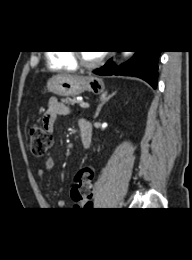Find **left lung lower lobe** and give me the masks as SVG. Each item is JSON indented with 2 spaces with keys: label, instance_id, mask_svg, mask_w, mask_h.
<instances>
[{
  "label": "left lung lower lobe",
  "instance_id": "1",
  "mask_svg": "<svg viewBox=\"0 0 192 260\" xmlns=\"http://www.w3.org/2000/svg\"><path fill=\"white\" fill-rule=\"evenodd\" d=\"M161 51H136L135 55L126 63L116 67L110 59L104 66L95 70L97 75L135 76L148 82L153 88L157 86V61Z\"/></svg>",
  "mask_w": 192,
  "mask_h": 260
}]
</instances>
